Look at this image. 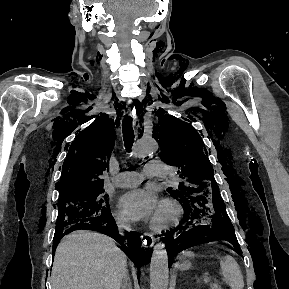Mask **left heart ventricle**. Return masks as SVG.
I'll use <instances>...</instances> for the list:
<instances>
[{"mask_svg": "<svg viewBox=\"0 0 289 289\" xmlns=\"http://www.w3.org/2000/svg\"><path fill=\"white\" fill-rule=\"evenodd\" d=\"M166 216V213L164 211H158L155 218L158 220L163 219Z\"/></svg>", "mask_w": 289, "mask_h": 289, "instance_id": "obj_1", "label": "left heart ventricle"}]
</instances>
